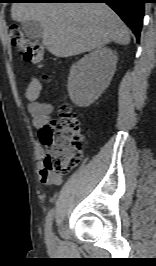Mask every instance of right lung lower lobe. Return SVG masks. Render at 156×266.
Returning <instances> with one entry per match:
<instances>
[{
	"label": "right lung lower lobe",
	"instance_id": "98d812e1",
	"mask_svg": "<svg viewBox=\"0 0 156 266\" xmlns=\"http://www.w3.org/2000/svg\"><path fill=\"white\" fill-rule=\"evenodd\" d=\"M48 2L65 3H106L108 4L130 27L136 36L140 37L142 21L144 16L145 0H40Z\"/></svg>",
	"mask_w": 156,
	"mask_h": 266
}]
</instances>
